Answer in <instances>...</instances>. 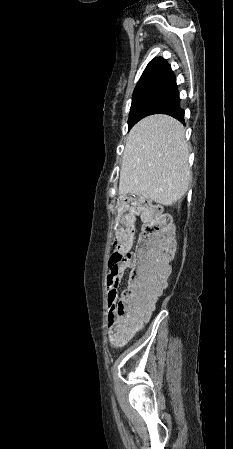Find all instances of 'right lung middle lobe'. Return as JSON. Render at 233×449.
<instances>
[{
    "mask_svg": "<svg viewBox=\"0 0 233 449\" xmlns=\"http://www.w3.org/2000/svg\"><path fill=\"white\" fill-rule=\"evenodd\" d=\"M180 102L178 90L156 89L133 94L128 119L129 129L142 118Z\"/></svg>",
    "mask_w": 233,
    "mask_h": 449,
    "instance_id": "right-lung-middle-lobe-1",
    "label": "right lung middle lobe"
}]
</instances>
